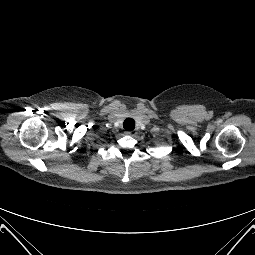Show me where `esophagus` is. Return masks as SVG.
<instances>
[{
	"mask_svg": "<svg viewBox=\"0 0 255 255\" xmlns=\"http://www.w3.org/2000/svg\"><path fill=\"white\" fill-rule=\"evenodd\" d=\"M126 134H127V135H130V136H134V135H136V131H135V130L126 131Z\"/></svg>",
	"mask_w": 255,
	"mask_h": 255,
	"instance_id": "34e87169",
	"label": "esophagus"
}]
</instances>
